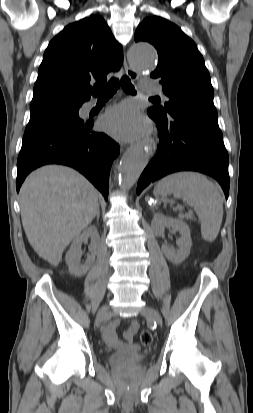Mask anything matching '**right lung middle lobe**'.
<instances>
[{"instance_id":"right-lung-middle-lobe-1","label":"right lung middle lobe","mask_w":253,"mask_h":413,"mask_svg":"<svg viewBox=\"0 0 253 413\" xmlns=\"http://www.w3.org/2000/svg\"><path fill=\"white\" fill-rule=\"evenodd\" d=\"M79 108L55 109L31 113L26 127L23 142L42 137L47 134L67 131L84 124L79 118Z\"/></svg>"}]
</instances>
